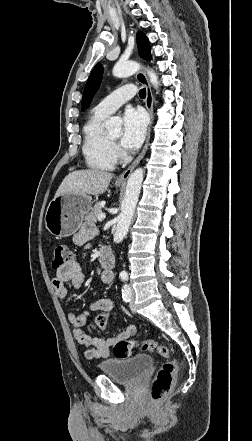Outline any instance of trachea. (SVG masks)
<instances>
[{
    "label": "trachea",
    "mask_w": 252,
    "mask_h": 441,
    "mask_svg": "<svg viewBox=\"0 0 252 441\" xmlns=\"http://www.w3.org/2000/svg\"><path fill=\"white\" fill-rule=\"evenodd\" d=\"M139 96H140L141 98H145V97H146V89H145V88H143V89H141V90L139 91Z\"/></svg>",
    "instance_id": "1"
}]
</instances>
